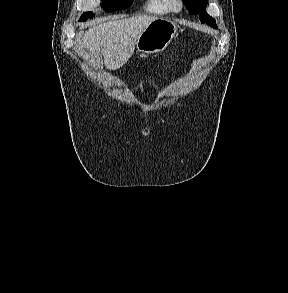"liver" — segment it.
Instances as JSON below:
<instances>
[{
    "label": "liver",
    "instance_id": "6515ba94",
    "mask_svg": "<svg viewBox=\"0 0 288 293\" xmlns=\"http://www.w3.org/2000/svg\"><path fill=\"white\" fill-rule=\"evenodd\" d=\"M156 19L147 15L111 19L89 28L81 45L89 52L94 66L99 65L101 52L108 69H119L132 56L140 34Z\"/></svg>",
    "mask_w": 288,
    "mask_h": 293
}]
</instances>
